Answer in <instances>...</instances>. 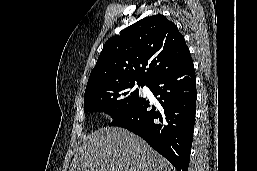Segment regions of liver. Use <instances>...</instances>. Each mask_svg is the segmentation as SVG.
<instances>
[{"label":"liver","mask_w":257,"mask_h":171,"mask_svg":"<svg viewBox=\"0 0 257 171\" xmlns=\"http://www.w3.org/2000/svg\"><path fill=\"white\" fill-rule=\"evenodd\" d=\"M69 171H170L168 162L142 138L118 127L84 138Z\"/></svg>","instance_id":"obj_1"}]
</instances>
